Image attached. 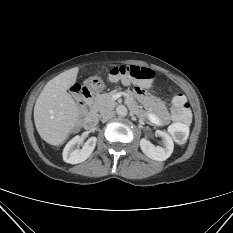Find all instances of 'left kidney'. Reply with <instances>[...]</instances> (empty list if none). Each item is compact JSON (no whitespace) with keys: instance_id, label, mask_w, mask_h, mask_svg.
I'll list each match as a JSON object with an SVG mask.
<instances>
[{"instance_id":"1","label":"left kidney","mask_w":233,"mask_h":233,"mask_svg":"<svg viewBox=\"0 0 233 233\" xmlns=\"http://www.w3.org/2000/svg\"><path fill=\"white\" fill-rule=\"evenodd\" d=\"M156 135L162 138V146H155L146 139L140 140L142 152L149 158L157 161H165L169 158L174 149V143L169 134L164 131L157 130Z\"/></svg>"}]
</instances>
